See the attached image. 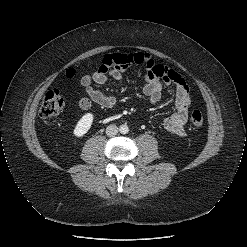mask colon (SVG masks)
<instances>
[{
	"label": "colon",
	"instance_id": "obj_1",
	"mask_svg": "<svg viewBox=\"0 0 247 247\" xmlns=\"http://www.w3.org/2000/svg\"><path fill=\"white\" fill-rule=\"evenodd\" d=\"M65 101L58 89H51L46 92L40 110L39 115L41 118H50L59 114L63 107ZM191 124L199 128L204 124V116L199 110H194L191 114Z\"/></svg>",
	"mask_w": 247,
	"mask_h": 247
}]
</instances>
